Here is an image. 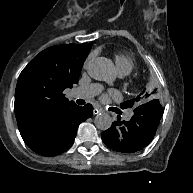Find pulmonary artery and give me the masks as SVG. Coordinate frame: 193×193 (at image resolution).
<instances>
[{
	"mask_svg": "<svg viewBox=\"0 0 193 193\" xmlns=\"http://www.w3.org/2000/svg\"><path fill=\"white\" fill-rule=\"evenodd\" d=\"M101 90V86L99 84H90L86 86H80L75 89L72 93L73 96L76 97H94L96 96Z\"/></svg>",
	"mask_w": 193,
	"mask_h": 193,
	"instance_id": "pulmonary-artery-1",
	"label": "pulmonary artery"
}]
</instances>
